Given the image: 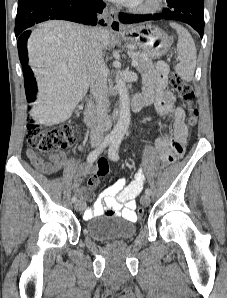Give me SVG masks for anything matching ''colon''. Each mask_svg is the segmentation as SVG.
<instances>
[{
	"label": "colon",
	"mask_w": 227,
	"mask_h": 298,
	"mask_svg": "<svg viewBox=\"0 0 227 298\" xmlns=\"http://www.w3.org/2000/svg\"><path fill=\"white\" fill-rule=\"evenodd\" d=\"M170 83L173 89L188 107V123L196 125L198 120V110L194 104V91L190 84L184 81L176 73L171 74ZM25 91L29 102H34L38 95L37 81L31 71L25 76ZM28 144L32 149L42 153L59 154V152L77 142L78 136L71 126H65L61 129L39 130L36 123L32 120L27 127ZM169 157V156H168ZM108 173L106 161L99 160L97 164V174L92 176L88 184L90 187H96L99 184L98 176H104ZM143 208H136L139 218H144Z\"/></svg>",
	"instance_id": "5ec220e1"
}]
</instances>
